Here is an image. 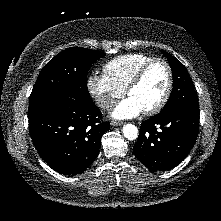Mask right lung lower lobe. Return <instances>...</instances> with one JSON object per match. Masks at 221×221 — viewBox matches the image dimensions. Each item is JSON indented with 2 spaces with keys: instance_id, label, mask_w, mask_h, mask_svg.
Wrapping results in <instances>:
<instances>
[{
  "instance_id": "obj_1",
  "label": "right lung lower lobe",
  "mask_w": 221,
  "mask_h": 221,
  "mask_svg": "<svg viewBox=\"0 0 221 221\" xmlns=\"http://www.w3.org/2000/svg\"><path fill=\"white\" fill-rule=\"evenodd\" d=\"M89 99L59 97L29 117V130L40 157L64 175L83 173L97 158L110 127Z\"/></svg>"
}]
</instances>
